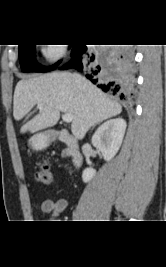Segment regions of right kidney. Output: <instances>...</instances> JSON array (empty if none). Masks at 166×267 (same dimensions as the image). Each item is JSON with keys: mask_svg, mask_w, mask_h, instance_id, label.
<instances>
[{"mask_svg": "<svg viewBox=\"0 0 166 267\" xmlns=\"http://www.w3.org/2000/svg\"><path fill=\"white\" fill-rule=\"evenodd\" d=\"M126 121L122 118L111 119L103 123L92 137V144L99 149L106 161L111 160L118 152L126 130ZM93 168H86L82 173L83 182L95 176Z\"/></svg>", "mask_w": 166, "mask_h": 267, "instance_id": "1", "label": "right kidney"}]
</instances>
